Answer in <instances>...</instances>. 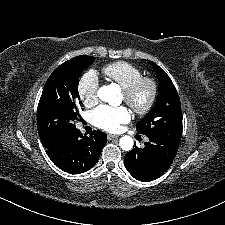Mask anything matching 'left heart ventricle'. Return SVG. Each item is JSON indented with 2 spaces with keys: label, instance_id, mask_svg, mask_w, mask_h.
<instances>
[{
  "label": "left heart ventricle",
  "instance_id": "left-heart-ventricle-1",
  "mask_svg": "<svg viewBox=\"0 0 225 225\" xmlns=\"http://www.w3.org/2000/svg\"><path fill=\"white\" fill-rule=\"evenodd\" d=\"M149 96V88L147 86H143L135 97L136 104H144Z\"/></svg>",
  "mask_w": 225,
  "mask_h": 225
}]
</instances>
